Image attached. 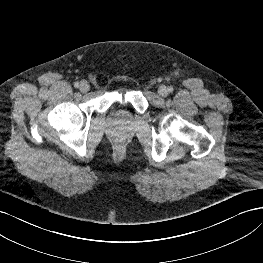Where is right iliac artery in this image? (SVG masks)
Instances as JSON below:
<instances>
[{"label":"right iliac artery","mask_w":263,"mask_h":263,"mask_svg":"<svg viewBox=\"0 0 263 263\" xmlns=\"http://www.w3.org/2000/svg\"><path fill=\"white\" fill-rule=\"evenodd\" d=\"M79 86H80V84H79L78 82H75V83H74V87H75V88H78Z\"/></svg>","instance_id":"1"}]
</instances>
